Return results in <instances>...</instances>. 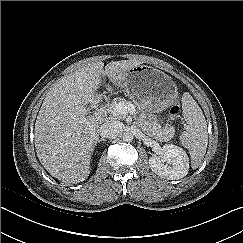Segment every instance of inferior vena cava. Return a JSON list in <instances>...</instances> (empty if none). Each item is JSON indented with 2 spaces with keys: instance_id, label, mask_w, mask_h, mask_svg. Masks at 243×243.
Returning a JSON list of instances; mask_svg holds the SVG:
<instances>
[{
  "instance_id": "1",
  "label": "inferior vena cava",
  "mask_w": 243,
  "mask_h": 243,
  "mask_svg": "<svg viewBox=\"0 0 243 243\" xmlns=\"http://www.w3.org/2000/svg\"><path fill=\"white\" fill-rule=\"evenodd\" d=\"M122 131V123L120 121H108L99 128V134L102 138H110L118 135Z\"/></svg>"
}]
</instances>
